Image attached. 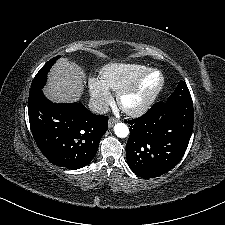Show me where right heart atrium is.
I'll return each mask as SVG.
<instances>
[{
    "instance_id": "1",
    "label": "right heart atrium",
    "mask_w": 225,
    "mask_h": 225,
    "mask_svg": "<svg viewBox=\"0 0 225 225\" xmlns=\"http://www.w3.org/2000/svg\"><path fill=\"white\" fill-rule=\"evenodd\" d=\"M87 87L91 98L99 105H104L111 101V92L102 80L91 77L87 82Z\"/></svg>"
}]
</instances>
